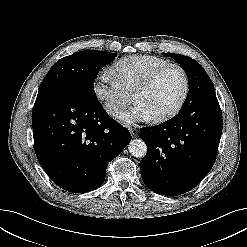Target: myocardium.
I'll list each match as a JSON object with an SVG mask.
<instances>
[{
	"label": "myocardium",
	"instance_id": "1",
	"mask_svg": "<svg viewBox=\"0 0 247 247\" xmlns=\"http://www.w3.org/2000/svg\"><path fill=\"white\" fill-rule=\"evenodd\" d=\"M171 68H176L181 72L183 79H184V88H183L182 94H181L178 102L174 105V107H172L166 113L154 117L153 120L155 122H164V121L169 120L170 118L174 117L182 109L183 105L185 104L186 99L189 95V91H190V80H189V76H188L186 70L181 65L176 64V63L166 64L162 67L157 68L156 70L152 71L149 75H147L136 86V88L134 89V91L132 93V98L136 102V98L141 92L148 89L163 72H165L166 70L171 69Z\"/></svg>",
	"mask_w": 247,
	"mask_h": 247
}]
</instances>
